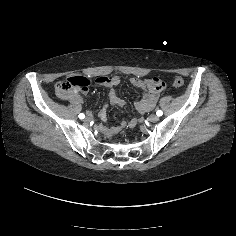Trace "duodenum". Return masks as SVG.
<instances>
[{
  "label": "duodenum",
  "instance_id": "duodenum-1",
  "mask_svg": "<svg viewBox=\"0 0 236 236\" xmlns=\"http://www.w3.org/2000/svg\"><path fill=\"white\" fill-rule=\"evenodd\" d=\"M108 85H110V86L115 85V83L110 81L108 83ZM140 86L141 87H148L149 88V94L146 96V98L142 102L137 104L138 109L143 108L146 105V103L156 95V89H155L156 84L155 83H150L149 84V83H146V82H141ZM121 128H122V126H119L115 129V131L118 132Z\"/></svg>",
  "mask_w": 236,
  "mask_h": 236
}]
</instances>
